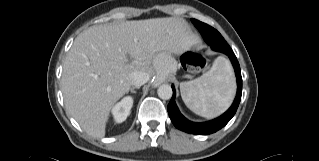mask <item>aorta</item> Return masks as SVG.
<instances>
[{"mask_svg": "<svg viewBox=\"0 0 319 161\" xmlns=\"http://www.w3.org/2000/svg\"><path fill=\"white\" fill-rule=\"evenodd\" d=\"M158 96L163 100H168L172 97V88L168 84H163L159 86L157 90Z\"/></svg>", "mask_w": 319, "mask_h": 161, "instance_id": "762f6f07", "label": "aorta"}]
</instances>
